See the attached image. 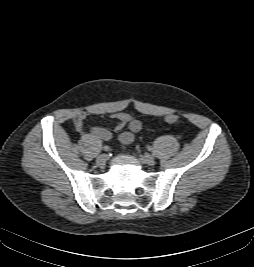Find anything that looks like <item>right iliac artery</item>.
<instances>
[{"instance_id": "82829eb1", "label": "right iliac artery", "mask_w": 254, "mask_h": 267, "mask_svg": "<svg viewBox=\"0 0 254 267\" xmlns=\"http://www.w3.org/2000/svg\"><path fill=\"white\" fill-rule=\"evenodd\" d=\"M103 150H104V151H109V150H110V147H109V146H104V147H103Z\"/></svg>"}]
</instances>
